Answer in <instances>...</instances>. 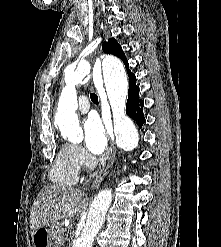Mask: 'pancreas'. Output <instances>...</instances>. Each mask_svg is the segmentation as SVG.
Here are the masks:
<instances>
[{"label": "pancreas", "instance_id": "pancreas-1", "mask_svg": "<svg viewBox=\"0 0 221 247\" xmlns=\"http://www.w3.org/2000/svg\"><path fill=\"white\" fill-rule=\"evenodd\" d=\"M64 230L62 225L56 224L52 228V235L55 243V247H62L64 244Z\"/></svg>", "mask_w": 221, "mask_h": 247}]
</instances>
